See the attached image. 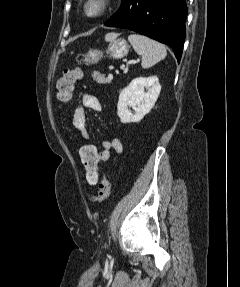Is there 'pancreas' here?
<instances>
[{
  "label": "pancreas",
  "instance_id": "cf45deb5",
  "mask_svg": "<svg viewBox=\"0 0 240 287\" xmlns=\"http://www.w3.org/2000/svg\"><path fill=\"white\" fill-rule=\"evenodd\" d=\"M92 78L94 81L100 84H106L111 82V80L109 78H106L105 75L97 72L93 73Z\"/></svg>",
  "mask_w": 240,
  "mask_h": 287
}]
</instances>
